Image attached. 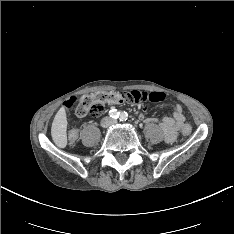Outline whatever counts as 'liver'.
<instances>
[{
    "instance_id": "obj_1",
    "label": "liver",
    "mask_w": 234,
    "mask_h": 234,
    "mask_svg": "<svg viewBox=\"0 0 234 234\" xmlns=\"http://www.w3.org/2000/svg\"><path fill=\"white\" fill-rule=\"evenodd\" d=\"M67 124L65 108L61 107L56 113L51 127L52 139L59 148H65L67 145Z\"/></svg>"
}]
</instances>
